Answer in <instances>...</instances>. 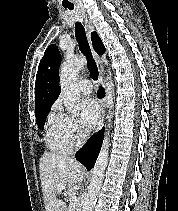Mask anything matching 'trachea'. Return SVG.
<instances>
[{"instance_id": "obj_1", "label": "trachea", "mask_w": 178, "mask_h": 211, "mask_svg": "<svg viewBox=\"0 0 178 211\" xmlns=\"http://www.w3.org/2000/svg\"><path fill=\"white\" fill-rule=\"evenodd\" d=\"M66 8V7H65ZM68 9L73 10V6H69ZM75 37L79 44V49L81 53L86 57L87 59V67L90 72L91 78L93 80L98 79V68L97 65L92 57L90 47L86 38V33L83 25L81 23L75 24Z\"/></svg>"}]
</instances>
